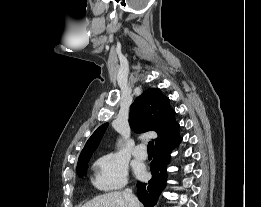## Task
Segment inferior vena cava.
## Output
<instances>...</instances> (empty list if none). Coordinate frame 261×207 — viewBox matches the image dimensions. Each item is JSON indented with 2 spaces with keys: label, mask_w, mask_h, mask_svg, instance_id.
<instances>
[{
  "label": "inferior vena cava",
  "mask_w": 261,
  "mask_h": 207,
  "mask_svg": "<svg viewBox=\"0 0 261 207\" xmlns=\"http://www.w3.org/2000/svg\"><path fill=\"white\" fill-rule=\"evenodd\" d=\"M124 197L127 200L129 207H140L138 199L133 195L132 190L130 189H125L124 192Z\"/></svg>",
  "instance_id": "obj_1"
}]
</instances>
